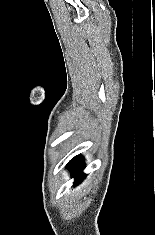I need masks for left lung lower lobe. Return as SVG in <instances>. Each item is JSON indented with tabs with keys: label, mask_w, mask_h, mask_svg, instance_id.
<instances>
[{
	"label": "left lung lower lobe",
	"mask_w": 155,
	"mask_h": 235,
	"mask_svg": "<svg viewBox=\"0 0 155 235\" xmlns=\"http://www.w3.org/2000/svg\"><path fill=\"white\" fill-rule=\"evenodd\" d=\"M67 168L71 169L72 176L75 177L74 185L82 182L86 177L82 170L85 168V164L83 162V157L81 155L75 156L67 165Z\"/></svg>",
	"instance_id": "0a47b994"
}]
</instances>
